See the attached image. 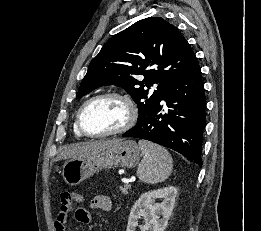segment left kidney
Listing matches in <instances>:
<instances>
[{
    "mask_svg": "<svg viewBox=\"0 0 261 231\" xmlns=\"http://www.w3.org/2000/svg\"><path fill=\"white\" fill-rule=\"evenodd\" d=\"M176 196L177 189L173 186L142 194L131 208L126 231H135L141 217L145 221L141 231H164L172 214ZM160 198L164 201L156 203Z\"/></svg>",
    "mask_w": 261,
    "mask_h": 231,
    "instance_id": "5707ae66",
    "label": "left kidney"
}]
</instances>
